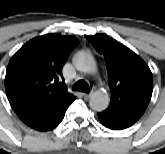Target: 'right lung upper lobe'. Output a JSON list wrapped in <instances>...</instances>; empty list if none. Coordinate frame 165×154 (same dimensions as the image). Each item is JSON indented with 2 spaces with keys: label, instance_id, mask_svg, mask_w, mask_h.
Masks as SVG:
<instances>
[{
  "label": "right lung upper lobe",
  "instance_id": "cb5924a9",
  "mask_svg": "<svg viewBox=\"0 0 165 154\" xmlns=\"http://www.w3.org/2000/svg\"><path fill=\"white\" fill-rule=\"evenodd\" d=\"M76 44L75 37L52 33L30 40L14 54L6 70L5 89L19 117L69 94L62 67Z\"/></svg>",
  "mask_w": 165,
  "mask_h": 154
}]
</instances>
